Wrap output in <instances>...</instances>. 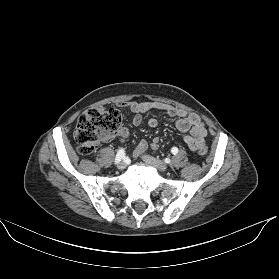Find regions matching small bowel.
<instances>
[{"label":"small bowel","instance_id":"1","mask_svg":"<svg viewBox=\"0 0 279 279\" xmlns=\"http://www.w3.org/2000/svg\"><path fill=\"white\" fill-rule=\"evenodd\" d=\"M120 107H127L133 113L132 123L139 126L142 123L141 114L153 110L165 112L169 117H176V127L181 132H189L183 136L186 145L192 150L197 151L200 147H205L207 130L205 124L199 116L193 113H188L184 110L178 109L172 105L163 104L159 102H121L118 104ZM158 125V120L154 117L148 120V126L155 128ZM121 142H124L128 135L129 130L123 127L118 133ZM159 144V139L154 138L151 147L156 149ZM147 142L142 140L135 150V156L138 157L147 149Z\"/></svg>","mask_w":279,"mask_h":279}]
</instances>
